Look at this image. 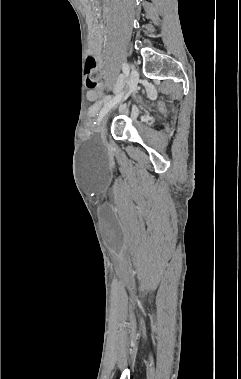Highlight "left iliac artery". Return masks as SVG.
Returning <instances> with one entry per match:
<instances>
[{
  "mask_svg": "<svg viewBox=\"0 0 241 379\" xmlns=\"http://www.w3.org/2000/svg\"><path fill=\"white\" fill-rule=\"evenodd\" d=\"M122 70H123L124 76L127 78L129 76V71H130L129 65L127 63H123L122 64ZM121 96H122V93L117 94L113 98H111V97L106 98V104L101 109L99 116H98V119H97L98 123L102 120V118L105 116V114L118 102V100L120 99Z\"/></svg>",
  "mask_w": 241,
  "mask_h": 379,
  "instance_id": "1",
  "label": "left iliac artery"
}]
</instances>
